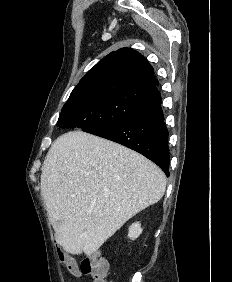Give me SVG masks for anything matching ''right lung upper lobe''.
<instances>
[{
  "instance_id": "1",
  "label": "right lung upper lobe",
  "mask_w": 232,
  "mask_h": 282,
  "mask_svg": "<svg viewBox=\"0 0 232 282\" xmlns=\"http://www.w3.org/2000/svg\"><path fill=\"white\" fill-rule=\"evenodd\" d=\"M158 84L154 70L144 56L131 48H121L92 67L69 98L111 89L134 90L147 94L157 106L161 102Z\"/></svg>"
}]
</instances>
